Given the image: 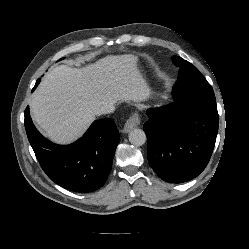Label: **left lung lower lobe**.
Wrapping results in <instances>:
<instances>
[{
  "mask_svg": "<svg viewBox=\"0 0 249 249\" xmlns=\"http://www.w3.org/2000/svg\"><path fill=\"white\" fill-rule=\"evenodd\" d=\"M149 109L143 129L147 136V157L160 178L182 183L198 176L214 149L219 120L215 98L191 96Z\"/></svg>",
  "mask_w": 249,
  "mask_h": 249,
  "instance_id": "left-lung-lower-lobe-1",
  "label": "left lung lower lobe"
}]
</instances>
